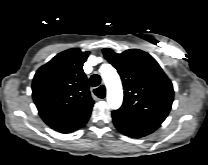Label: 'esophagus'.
Instances as JSON below:
<instances>
[{"label": "esophagus", "instance_id": "obj_1", "mask_svg": "<svg viewBox=\"0 0 208 165\" xmlns=\"http://www.w3.org/2000/svg\"><path fill=\"white\" fill-rule=\"evenodd\" d=\"M101 86L104 88V90H106V88H105V85H104V84H102ZM101 86H100V87H101ZM105 97H106V95L104 96V98H103L102 100H104V99H105Z\"/></svg>", "mask_w": 208, "mask_h": 165}]
</instances>
